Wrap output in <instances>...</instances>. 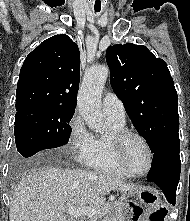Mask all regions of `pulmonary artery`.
Wrapping results in <instances>:
<instances>
[{
    "mask_svg": "<svg viewBox=\"0 0 190 221\" xmlns=\"http://www.w3.org/2000/svg\"><path fill=\"white\" fill-rule=\"evenodd\" d=\"M102 105L103 113L106 118L120 123H125V108L122 101L116 94L112 92L106 93L103 97Z\"/></svg>",
    "mask_w": 190,
    "mask_h": 221,
    "instance_id": "e3ab8cb5",
    "label": "pulmonary artery"
}]
</instances>
